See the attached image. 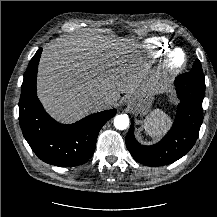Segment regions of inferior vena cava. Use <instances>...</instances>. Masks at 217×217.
Wrapping results in <instances>:
<instances>
[{
	"label": "inferior vena cava",
	"mask_w": 217,
	"mask_h": 217,
	"mask_svg": "<svg viewBox=\"0 0 217 217\" xmlns=\"http://www.w3.org/2000/svg\"><path fill=\"white\" fill-rule=\"evenodd\" d=\"M108 104H110V100L108 99L92 98L89 101V107L93 112H97L104 109Z\"/></svg>",
	"instance_id": "1"
}]
</instances>
